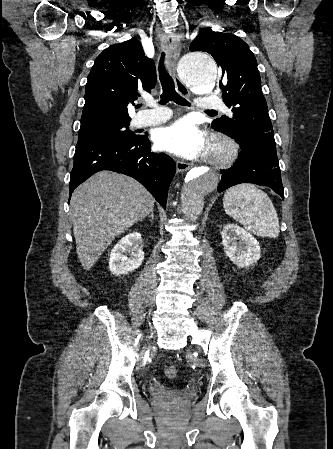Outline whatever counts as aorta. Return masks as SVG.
<instances>
[{
    "label": "aorta",
    "instance_id": "1",
    "mask_svg": "<svg viewBox=\"0 0 333 449\" xmlns=\"http://www.w3.org/2000/svg\"><path fill=\"white\" fill-rule=\"evenodd\" d=\"M178 71L182 82L200 93L212 91L217 80V67L206 52H192L180 61ZM219 183V174L212 168H195L181 185V202L184 217L196 220L204 207V198L213 193Z\"/></svg>",
    "mask_w": 333,
    "mask_h": 449
}]
</instances>
